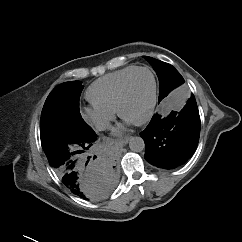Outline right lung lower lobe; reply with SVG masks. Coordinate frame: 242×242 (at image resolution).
Here are the masks:
<instances>
[{
  "instance_id": "1",
  "label": "right lung lower lobe",
  "mask_w": 242,
  "mask_h": 242,
  "mask_svg": "<svg viewBox=\"0 0 242 242\" xmlns=\"http://www.w3.org/2000/svg\"><path fill=\"white\" fill-rule=\"evenodd\" d=\"M97 135L92 131L49 149L45 154L62 183L75 195L100 200L108 196L117 182L113 161L92 155Z\"/></svg>"
}]
</instances>
